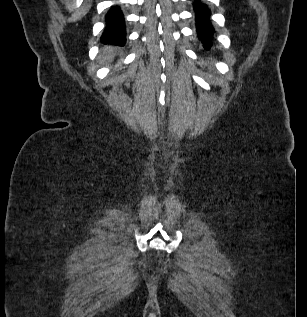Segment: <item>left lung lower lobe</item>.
<instances>
[{"mask_svg":"<svg viewBox=\"0 0 307 317\" xmlns=\"http://www.w3.org/2000/svg\"><path fill=\"white\" fill-rule=\"evenodd\" d=\"M195 11V22L198 38L203 47L208 50L213 45L214 28L210 21L211 12L207 5L201 0H195L193 3Z\"/></svg>","mask_w":307,"mask_h":317,"instance_id":"obj_1","label":"left lung lower lobe"}]
</instances>
